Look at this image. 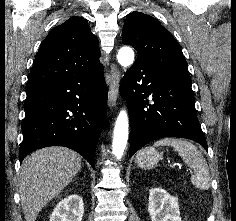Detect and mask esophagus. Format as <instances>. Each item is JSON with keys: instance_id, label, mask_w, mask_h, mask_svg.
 I'll use <instances>...</instances> for the list:
<instances>
[{"instance_id": "esophagus-1", "label": "esophagus", "mask_w": 236, "mask_h": 221, "mask_svg": "<svg viewBox=\"0 0 236 221\" xmlns=\"http://www.w3.org/2000/svg\"><path fill=\"white\" fill-rule=\"evenodd\" d=\"M119 76L120 72L114 64L111 66V77L110 85L108 91V105L110 109L114 108L116 105V100L119 92Z\"/></svg>"}]
</instances>
